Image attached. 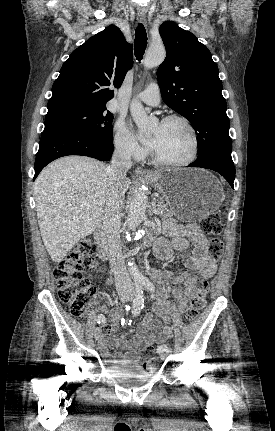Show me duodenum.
<instances>
[{"instance_id":"1","label":"duodenum","mask_w":275,"mask_h":431,"mask_svg":"<svg viewBox=\"0 0 275 431\" xmlns=\"http://www.w3.org/2000/svg\"><path fill=\"white\" fill-rule=\"evenodd\" d=\"M94 240L98 247V254L101 260L106 261L109 257L107 238L103 227H98L94 231Z\"/></svg>"}]
</instances>
